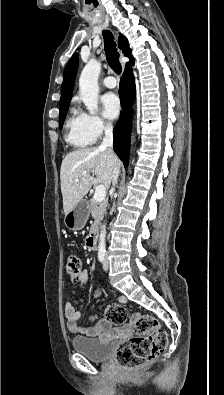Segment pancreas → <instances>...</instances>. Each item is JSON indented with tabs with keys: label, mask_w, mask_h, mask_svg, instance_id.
Listing matches in <instances>:
<instances>
[{
	"label": "pancreas",
	"mask_w": 224,
	"mask_h": 395,
	"mask_svg": "<svg viewBox=\"0 0 224 395\" xmlns=\"http://www.w3.org/2000/svg\"><path fill=\"white\" fill-rule=\"evenodd\" d=\"M107 204H108L107 199H104L101 202H97L94 198L90 199L88 203V209H89V213H91L94 219V224L92 225L91 230H93L95 227H97L100 224L101 220L104 217Z\"/></svg>",
	"instance_id": "1"
}]
</instances>
